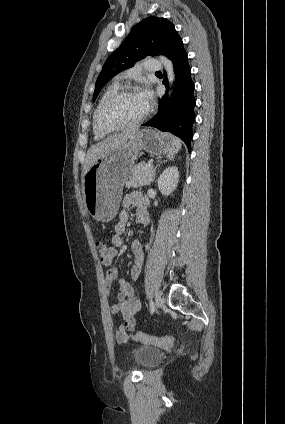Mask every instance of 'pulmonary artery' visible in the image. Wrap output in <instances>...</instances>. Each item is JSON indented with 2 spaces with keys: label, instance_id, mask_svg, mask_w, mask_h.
<instances>
[{
  "label": "pulmonary artery",
  "instance_id": "1",
  "mask_svg": "<svg viewBox=\"0 0 285 424\" xmlns=\"http://www.w3.org/2000/svg\"><path fill=\"white\" fill-rule=\"evenodd\" d=\"M145 71L147 72H157L160 71L163 66L161 64V62L157 61V60H146L143 62V67H142ZM139 67L131 69V70H127L123 73H121L120 75L117 76V80H122V79H126L135 75H138L139 72Z\"/></svg>",
  "mask_w": 285,
  "mask_h": 424
}]
</instances>
